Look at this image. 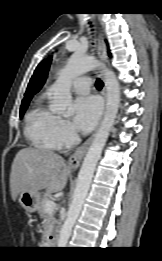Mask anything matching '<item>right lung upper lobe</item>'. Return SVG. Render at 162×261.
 <instances>
[{"label":"right lung upper lobe","mask_w":162,"mask_h":261,"mask_svg":"<svg viewBox=\"0 0 162 261\" xmlns=\"http://www.w3.org/2000/svg\"><path fill=\"white\" fill-rule=\"evenodd\" d=\"M50 62H51V58H49L48 61L44 64L39 74L37 75L36 79L30 81L26 93L24 94L25 97L22 100V102L31 100L33 95L36 94L41 89V87L46 81Z\"/></svg>","instance_id":"right-lung-upper-lobe-1"}]
</instances>
